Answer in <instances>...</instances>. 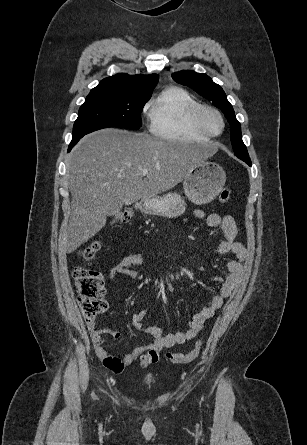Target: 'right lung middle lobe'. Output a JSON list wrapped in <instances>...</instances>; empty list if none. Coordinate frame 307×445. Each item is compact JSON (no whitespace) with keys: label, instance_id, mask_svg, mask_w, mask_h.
<instances>
[{"label":"right lung middle lobe","instance_id":"right-lung-middle-lobe-1","mask_svg":"<svg viewBox=\"0 0 307 445\" xmlns=\"http://www.w3.org/2000/svg\"><path fill=\"white\" fill-rule=\"evenodd\" d=\"M149 98L92 95L81 105L73 127V138L107 127L139 129L141 112Z\"/></svg>","mask_w":307,"mask_h":445}]
</instances>
